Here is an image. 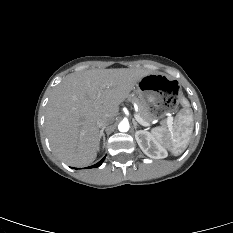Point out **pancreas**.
Instances as JSON below:
<instances>
[{
  "mask_svg": "<svg viewBox=\"0 0 233 233\" xmlns=\"http://www.w3.org/2000/svg\"><path fill=\"white\" fill-rule=\"evenodd\" d=\"M133 99L137 102L139 107L138 115L146 122L152 121L153 119L150 115L148 107H146L137 97H133Z\"/></svg>",
  "mask_w": 233,
  "mask_h": 233,
  "instance_id": "pancreas-1",
  "label": "pancreas"
}]
</instances>
